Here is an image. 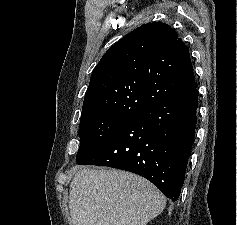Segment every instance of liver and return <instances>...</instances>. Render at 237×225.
<instances>
[{"instance_id": "6515ba94", "label": "liver", "mask_w": 237, "mask_h": 225, "mask_svg": "<svg viewBox=\"0 0 237 225\" xmlns=\"http://www.w3.org/2000/svg\"><path fill=\"white\" fill-rule=\"evenodd\" d=\"M165 205L152 183L122 170L83 168L70 184L73 225H146Z\"/></svg>"}]
</instances>
